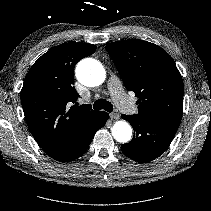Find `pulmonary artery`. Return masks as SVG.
Wrapping results in <instances>:
<instances>
[{"label":"pulmonary artery","instance_id":"e3ab8cb5","mask_svg":"<svg viewBox=\"0 0 211 211\" xmlns=\"http://www.w3.org/2000/svg\"><path fill=\"white\" fill-rule=\"evenodd\" d=\"M108 88L120 110L125 113H129L133 110V105L130 99L127 97L123 84L118 77H111L109 80Z\"/></svg>","mask_w":211,"mask_h":211}]
</instances>
